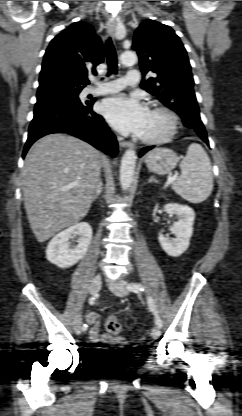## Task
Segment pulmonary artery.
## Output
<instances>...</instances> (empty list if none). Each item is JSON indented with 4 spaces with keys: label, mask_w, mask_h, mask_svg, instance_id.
I'll list each match as a JSON object with an SVG mask.
<instances>
[{
    "label": "pulmonary artery",
    "mask_w": 242,
    "mask_h": 416,
    "mask_svg": "<svg viewBox=\"0 0 242 416\" xmlns=\"http://www.w3.org/2000/svg\"><path fill=\"white\" fill-rule=\"evenodd\" d=\"M139 82V70L130 69L124 79H115L104 83L102 86L93 88L90 93L93 95H106L117 93L124 88V86H135Z\"/></svg>",
    "instance_id": "1"
}]
</instances>
